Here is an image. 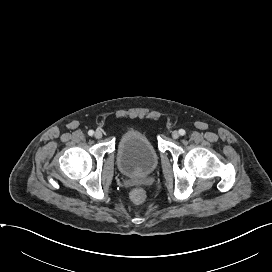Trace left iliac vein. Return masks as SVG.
I'll list each match as a JSON object with an SVG mask.
<instances>
[{"mask_svg":"<svg viewBox=\"0 0 272 272\" xmlns=\"http://www.w3.org/2000/svg\"><path fill=\"white\" fill-rule=\"evenodd\" d=\"M172 137H173L174 139L179 138V133H178V131H173V132H172Z\"/></svg>","mask_w":272,"mask_h":272,"instance_id":"4c4485c4","label":"left iliac vein"}]
</instances>
